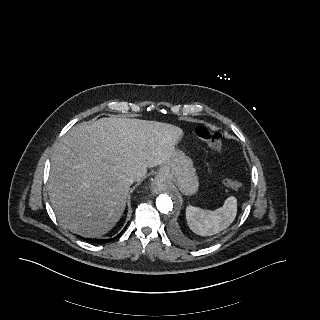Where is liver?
Listing matches in <instances>:
<instances>
[{"label":"liver","instance_id":"liver-1","mask_svg":"<svg viewBox=\"0 0 320 320\" xmlns=\"http://www.w3.org/2000/svg\"><path fill=\"white\" fill-rule=\"evenodd\" d=\"M182 137L168 123L118 117L71 128L55 150L48 183L59 222L87 238L108 233L125 210L127 178L140 180L163 165Z\"/></svg>","mask_w":320,"mask_h":320}]
</instances>
